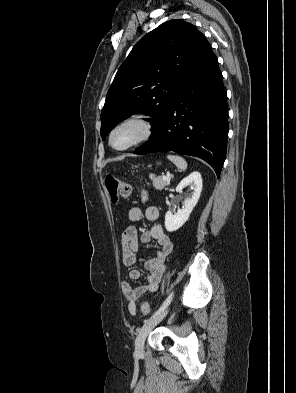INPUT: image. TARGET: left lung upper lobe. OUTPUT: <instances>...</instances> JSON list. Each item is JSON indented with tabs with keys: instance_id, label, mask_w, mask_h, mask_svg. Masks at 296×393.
<instances>
[{
	"instance_id": "1",
	"label": "left lung upper lobe",
	"mask_w": 296,
	"mask_h": 393,
	"mask_svg": "<svg viewBox=\"0 0 296 393\" xmlns=\"http://www.w3.org/2000/svg\"><path fill=\"white\" fill-rule=\"evenodd\" d=\"M213 53L205 36L181 19L146 34L121 64L101 112V137L123 119L144 113L152 135L189 81Z\"/></svg>"
}]
</instances>
